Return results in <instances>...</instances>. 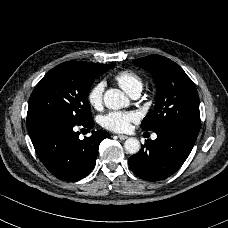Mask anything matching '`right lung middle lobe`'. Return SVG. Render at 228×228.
<instances>
[{"mask_svg":"<svg viewBox=\"0 0 228 228\" xmlns=\"http://www.w3.org/2000/svg\"><path fill=\"white\" fill-rule=\"evenodd\" d=\"M114 64L67 61L51 69L34 88L27 123L43 118H62L76 124L92 120L88 104L94 79Z\"/></svg>","mask_w":228,"mask_h":228,"instance_id":"obj_1","label":"right lung middle lobe"}]
</instances>
